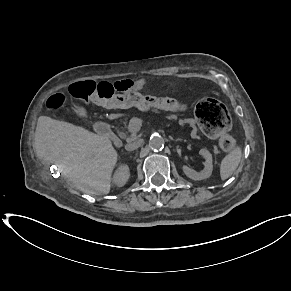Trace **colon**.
<instances>
[{"mask_svg":"<svg viewBox=\"0 0 291 291\" xmlns=\"http://www.w3.org/2000/svg\"><path fill=\"white\" fill-rule=\"evenodd\" d=\"M69 95L77 100L110 107L134 106L143 112H174L181 116L187 111L186 102L169 93H145L141 95L131 91L130 81L92 82L85 81L71 85ZM65 93L52 95L46 102V108L57 110L67 102ZM195 118L201 130L208 136L218 137L223 150L229 151L235 146V138L228 133L231 119L226 107L214 98H203L194 109Z\"/></svg>","mask_w":291,"mask_h":291,"instance_id":"colon-1","label":"colon"}]
</instances>
